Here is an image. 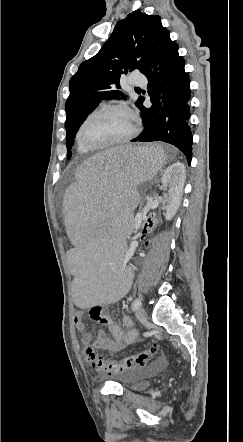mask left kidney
<instances>
[{
  "label": "left kidney",
  "instance_id": "obj_1",
  "mask_svg": "<svg viewBox=\"0 0 243 442\" xmlns=\"http://www.w3.org/2000/svg\"><path fill=\"white\" fill-rule=\"evenodd\" d=\"M186 178L185 165L176 162L170 165L162 177V185L168 189V202L164 208L166 220H171L179 208Z\"/></svg>",
  "mask_w": 243,
  "mask_h": 442
}]
</instances>
